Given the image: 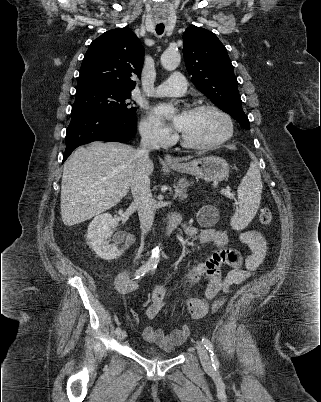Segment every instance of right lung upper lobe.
Returning a JSON list of instances; mask_svg holds the SVG:
<instances>
[{"label":"right lung upper lobe","mask_w":321,"mask_h":402,"mask_svg":"<svg viewBox=\"0 0 321 402\" xmlns=\"http://www.w3.org/2000/svg\"><path fill=\"white\" fill-rule=\"evenodd\" d=\"M144 48L130 28H117L103 33L89 46L78 85L98 84L129 91L136 82L131 76L141 74Z\"/></svg>","instance_id":"right-lung-upper-lobe-1"}]
</instances>
